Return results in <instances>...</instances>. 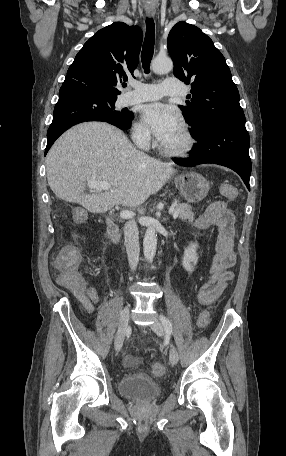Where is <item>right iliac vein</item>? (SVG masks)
Returning a JSON list of instances; mask_svg holds the SVG:
<instances>
[{"mask_svg":"<svg viewBox=\"0 0 286 456\" xmlns=\"http://www.w3.org/2000/svg\"><path fill=\"white\" fill-rule=\"evenodd\" d=\"M129 305H126L121 312L117 336L115 339V350L119 352L122 349L124 337L129 323Z\"/></svg>","mask_w":286,"mask_h":456,"instance_id":"63e3f726","label":"right iliac vein"}]
</instances>
